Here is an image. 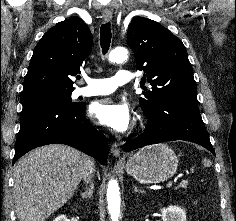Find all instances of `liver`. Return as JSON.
Segmentation results:
<instances>
[{"label": "liver", "instance_id": "liver-1", "mask_svg": "<svg viewBox=\"0 0 236 221\" xmlns=\"http://www.w3.org/2000/svg\"><path fill=\"white\" fill-rule=\"evenodd\" d=\"M87 156L60 144L32 150L14 168L15 212L19 221H45L79 185Z\"/></svg>", "mask_w": 236, "mask_h": 221}]
</instances>
